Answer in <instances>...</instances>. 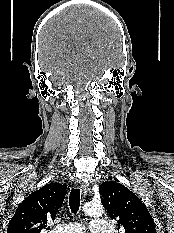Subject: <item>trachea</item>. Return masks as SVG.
<instances>
[{
    "label": "trachea",
    "instance_id": "trachea-1",
    "mask_svg": "<svg viewBox=\"0 0 174 233\" xmlns=\"http://www.w3.org/2000/svg\"><path fill=\"white\" fill-rule=\"evenodd\" d=\"M69 206L73 214L79 210L80 207V190L79 189H72L69 196Z\"/></svg>",
    "mask_w": 174,
    "mask_h": 233
}]
</instances>
